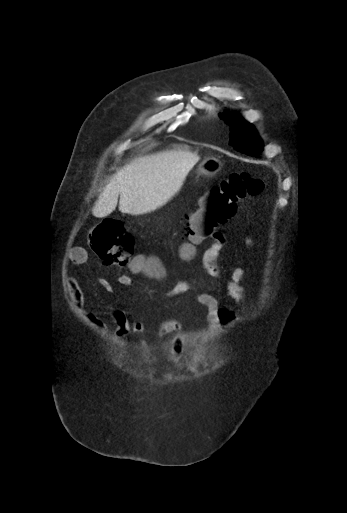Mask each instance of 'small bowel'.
I'll list each match as a JSON object with an SVG mask.
<instances>
[{
  "label": "small bowel",
  "mask_w": 347,
  "mask_h": 513,
  "mask_svg": "<svg viewBox=\"0 0 347 513\" xmlns=\"http://www.w3.org/2000/svg\"><path fill=\"white\" fill-rule=\"evenodd\" d=\"M210 239L212 243L203 256V270L210 278L221 279L226 277L221 282L225 293L240 307H243L247 300L244 288L246 273L240 267L224 269L218 264L220 252L226 244V236L222 231H215L210 236ZM246 244L249 247H253L255 246V241L252 237H248L246 239ZM87 261L88 255L82 248H75L69 255V262L72 264L84 265ZM139 271V269L135 268H132L131 270L132 273H138ZM118 281L124 286H129L132 279L129 274H121ZM205 282L206 281L201 278L179 280L168 290V293L170 296L184 295ZM100 285L106 291H112V287L108 283L102 281L100 282ZM66 288L73 306L81 314L86 316L91 324L99 329H105L107 324L101 315L85 311L84 293L77 280L72 276H68ZM196 302L204 308L205 319L210 327L218 324L229 323L236 318V312L233 309L222 307L218 299L211 293L199 292L196 295ZM108 314L111 322L115 326V334L118 338H126L130 335L145 336L148 334H154L156 337L171 335L172 339L167 350L166 357L171 362H176L181 358L184 351V344L182 339L183 327L179 320L173 318L167 319L158 323L154 327H149L141 319H129L125 312L121 310H111Z\"/></svg>",
  "instance_id": "1"
}]
</instances>
